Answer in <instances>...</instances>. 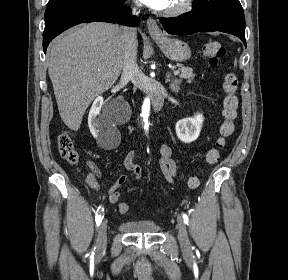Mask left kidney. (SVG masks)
Instances as JSON below:
<instances>
[{"mask_svg":"<svg viewBox=\"0 0 288 280\" xmlns=\"http://www.w3.org/2000/svg\"><path fill=\"white\" fill-rule=\"evenodd\" d=\"M203 121V115L200 113L195 114L194 117L179 120L175 127L178 139L184 143L195 141L199 137Z\"/></svg>","mask_w":288,"mask_h":280,"instance_id":"obj_1","label":"left kidney"}]
</instances>
